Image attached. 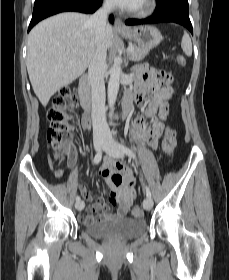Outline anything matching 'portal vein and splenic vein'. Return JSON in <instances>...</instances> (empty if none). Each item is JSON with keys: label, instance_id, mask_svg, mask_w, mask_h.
<instances>
[{"label": "portal vein and splenic vein", "instance_id": "portal-vein-and-splenic-vein-1", "mask_svg": "<svg viewBox=\"0 0 229 280\" xmlns=\"http://www.w3.org/2000/svg\"><path fill=\"white\" fill-rule=\"evenodd\" d=\"M133 51H134L133 47H128V48H127V52H128V53H131V52H133ZM70 63L72 64L73 61H70Z\"/></svg>", "mask_w": 229, "mask_h": 280}]
</instances>
